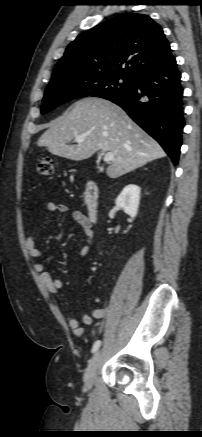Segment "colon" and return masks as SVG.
<instances>
[{
    "label": "colon",
    "instance_id": "5ec220e1",
    "mask_svg": "<svg viewBox=\"0 0 202 437\" xmlns=\"http://www.w3.org/2000/svg\"><path fill=\"white\" fill-rule=\"evenodd\" d=\"M54 171V162L50 157L42 158L37 164V172L43 176H51Z\"/></svg>",
    "mask_w": 202,
    "mask_h": 437
}]
</instances>
